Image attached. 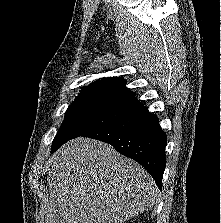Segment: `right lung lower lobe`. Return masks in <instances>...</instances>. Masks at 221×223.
I'll return each mask as SVG.
<instances>
[{"label": "right lung lower lobe", "instance_id": "98d812e1", "mask_svg": "<svg viewBox=\"0 0 221 223\" xmlns=\"http://www.w3.org/2000/svg\"><path fill=\"white\" fill-rule=\"evenodd\" d=\"M83 136L112 145L120 154L134 159L153 177L159 188L166 166V134L156 115L142 105L124 117Z\"/></svg>", "mask_w": 221, "mask_h": 223}]
</instances>
